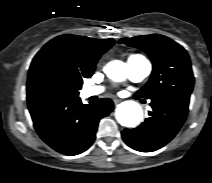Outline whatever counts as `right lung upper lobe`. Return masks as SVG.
I'll return each mask as SVG.
<instances>
[{
	"instance_id": "1",
	"label": "right lung upper lobe",
	"mask_w": 212,
	"mask_h": 183,
	"mask_svg": "<svg viewBox=\"0 0 212 183\" xmlns=\"http://www.w3.org/2000/svg\"><path fill=\"white\" fill-rule=\"evenodd\" d=\"M113 44V39L99 40L76 35H60L49 41L31 63L27 83L28 102L40 98L32 90V80L43 64L54 61L83 78H89L99 57Z\"/></svg>"
}]
</instances>
